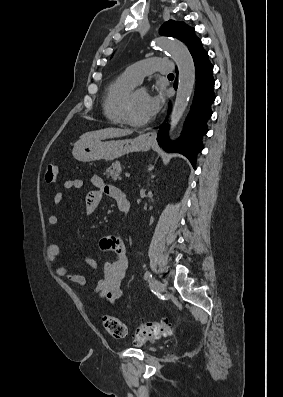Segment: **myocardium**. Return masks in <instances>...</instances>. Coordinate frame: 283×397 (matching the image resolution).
<instances>
[{"mask_svg": "<svg viewBox=\"0 0 283 397\" xmlns=\"http://www.w3.org/2000/svg\"><path fill=\"white\" fill-rule=\"evenodd\" d=\"M135 91H131L125 99L123 106V116L124 120L127 124L134 127H141L150 122V118L145 120H136L132 113V103H133V95Z\"/></svg>", "mask_w": 283, "mask_h": 397, "instance_id": "1", "label": "myocardium"}]
</instances>
